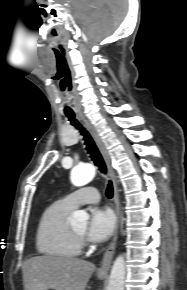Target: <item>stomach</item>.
I'll return each instance as SVG.
<instances>
[{"instance_id":"1","label":"stomach","mask_w":187,"mask_h":290,"mask_svg":"<svg viewBox=\"0 0 187 290\" xmlns=\"http://www.w3.org/2000/svg\"><path fill=\"white\" fill-rule=\"evenodd\" d=\"M98 278H99V279H104V278H105V276H98Z\"/></svg>"}]
</instances>
